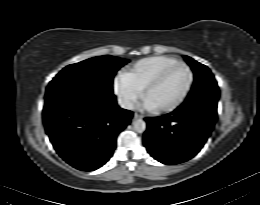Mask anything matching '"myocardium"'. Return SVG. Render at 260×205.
I'll return each mask as SVG.
<instances>
[{
	"instance_id": "1",
	"label": "myocardium",
	"mask_w": 260,
	"mask_h": 205,
	"mask_svg": "<svg viewBox=\"0 0 260 205\" xmlns=\"http://www.w3.org/2000/svg\"><path fill=\"white\" fill-rule=\"evenodd\" d=\"M176 66H182L187 69L188 74H189L188 84H187L185 90L183 91V93L174 102H172L171 104L166 105V106L156 107L155 109L158 112H170V111H173L176 108H178L185 101V99L189 95V93L192 89V86L194 84L195 76H194V72H193L192 68L185 62L177 61L175 63H172V64L162 68L148 81V83L143 88V92H142L143 98L145 99L148 92L165 76V74L168 71H170L172 68H174Z\"/></svg>"
}]
</instances>
